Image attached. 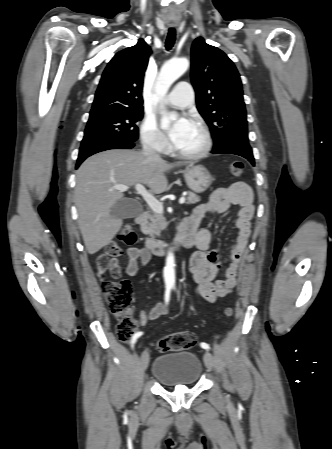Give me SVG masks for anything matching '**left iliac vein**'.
<instances>
[{
  "instance_id": "1",
  "label": "left iliac vein",
  "mask_w": 332,
  "mask_h": 449,
  "mask_svg": "<svg viewBox=\"0 0 332 449\" xmlns=\"http://www.w3.org/2000/svg\"><path fill=\"white\" fill-rule=\"evenodd\" d=\"M204 362H205L206 367L209 370L215 369L216 363H215L214 356L212 355L211 352H209V351L205 352V354H204Z\"/></svg>"
}]
</instances>
